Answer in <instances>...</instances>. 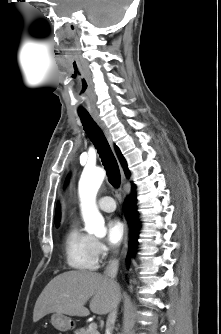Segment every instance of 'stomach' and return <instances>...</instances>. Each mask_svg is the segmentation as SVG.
<instances>
[{
	"instance_id": "1",
	"label": "stomach",
	"mask_w": 221,
	"mask_h": 334,
	"mask_svg": "<svg viewBox=\"0 0 221 334\" xmlns=\"http://www.w3.org/2000/svg\"><path fill=\"white\" fill-rule=\"evenodd\" d=\"M51 323L59 331H68L73 328L71 318L60 313H54L51 316Z\"/></svg>"
}]
</instances>
